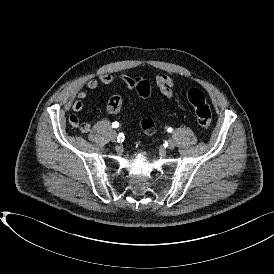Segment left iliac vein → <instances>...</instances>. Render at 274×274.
Instances as JSON below:
<instances>
[{
  "label": "left iliac vein",
  "mask_w": 274,
  "mask_h": 274,
  "mask_svg": "<svg viewBox=\"0 0 274 274\" xmlns=\"http://www.w3.org/2000/svg\"><path fill=\"white\" fill-rule=\"evenodd\" d=\"M175 146H176L175 140H174V139H169V140H168V143H167V147H168L169 149H174Z\"/></svg>",
  "instance_id": "4c4485c4"
}]
</instances>
